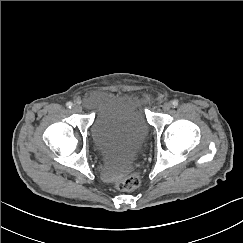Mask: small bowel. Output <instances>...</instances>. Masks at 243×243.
Listing matches in <instances>:
<instances>
[{"label":"small bowel","mask_w":243,"mask_h":243,"mask_svg":"<svg viewBox=\"0 0 243 243\" xmlns=\"http://www.w3.org/2000/svg\"><path fill=\"white\" fill-rule=\"evenodd\" d=\"M111 96L106 93H96L89 98V101L93 105H101L110 100Z\"/></svg>","instance_id":"small-bowel-1"}]
</instances>
